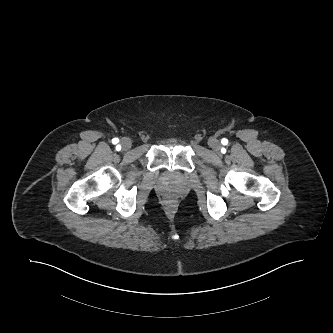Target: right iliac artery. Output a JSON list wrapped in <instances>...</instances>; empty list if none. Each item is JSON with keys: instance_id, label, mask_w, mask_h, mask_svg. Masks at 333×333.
Instances as JSON below:
<instances>
[{"instance_id": "obj_1", "label": "right iliac artery", "mask_w": 333, "mask_h": 333, "mask_svg": "<svg viewBox=\"0 0 333 333\" xmlns=\"http://www.w3.org/2000/svg\"><path fill=\"white\" fill-rule=\"evenodd\" d=\"M118 142H119V139H118V138H113V139H112V143H113V144H117Z\"/></svg>"}]
</instances>
